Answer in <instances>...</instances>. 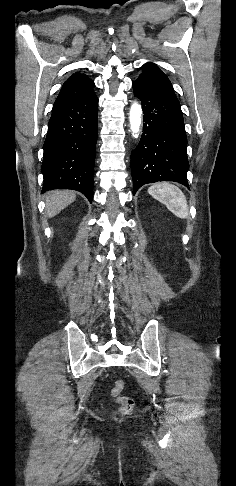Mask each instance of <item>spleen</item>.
I'll return each instance as SVG.
<instances>
[{
	"label": "spleen",
	"mask_w": 236,
	"mask_h": 486,
	"mask_svg": "<svg viewBox=\"0 0 236 486\" xmlns=\"http://www.w3.org/2000/svg\"><path fill=\"white\" fill-rule=\"evenodd\" d=\"M148 193L166 205L177 217L184 219L188 216L189 210L186 197L177 186L169 183H158L149 187Z\"/></svg>",
	"instance_id": "spleen-1"
}]
</instances>
